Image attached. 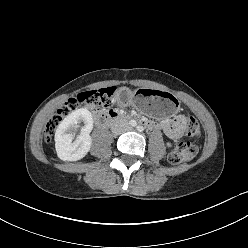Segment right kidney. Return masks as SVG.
Wrapping results in <instances>:
<instances>
[{
    "label": "right kidney",
    "mask_w": 248,
    "mask_h": 248,
    "mask_svg": "<svg viewBox=\"0 0 248 248\" xmlns=\"http://www.w3.org/2000/svg\"><path fill=\"white\" fill-rule=\"evenodd\" d=\"M84 122L80 135L74 139V130L78 123ZM93 129L91 113L84 108L70 113L59 124L55 133V148L58 157L63 161H77L82 159L90 151L92 139L90 132Z\"/></svg>",
    "instance_id": "right-kidney-1"
}]
</instances>
